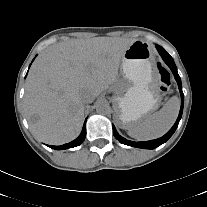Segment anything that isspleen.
I'll return each instance as SVG.
<instances>
[{"instance_id": "obj_1", "label": "spleen", "mask_w": 207, "mask_h": 207, "mask_svg": "<svg viewBox=\"0 0 207 207\" xmlns=\"http://www.w3.org/2000/svg\"><path fill=\"white\" fill-rule=\"evenodd\" d=\"M180 108L178 97H171L157 112L128 129V135L139 141L156 139L164 135L175 123Z\"/></svg>"}]
</instances>
